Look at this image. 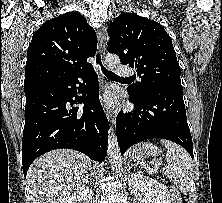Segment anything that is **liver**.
<instances>
[{
  "label": "liver",
  "instance_id": "liver-1",
  "mask_svg": "<svg viewBox=\"0 0 222 203\" xmlns=\"http://www.w3.org/2000/svg\"><path fill=\"white\" fill-rule=\"evenodd\" d=\"M92 173L86 155L69 149H57L37 158L27 172L32 203H62L63 199L84 187Z\"/></svg>",
  "mask_w": 222,
  "mask_h": 203
}]
</instances>
